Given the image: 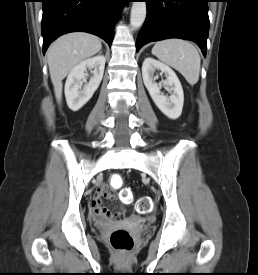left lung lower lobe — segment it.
Wrapping results in <instances>:
<instances>
[{
    "instance_id": "left-lung-lower-lobe-1",
    "label": "left lung lower lobe",
    "mask_w": 258,
    "mask_h": 275,
    "mask_svg": "<svg viewBox=\"0 0 258 275\" xmlns=\"http://www.w3.org/2000/svg\"><path fill=\"white\" fill-rule=\"evenodd\" d=\"M147 17L136 51L153 41L181 38L194 41L206 54L209 32L208 0H145Z\"/></svg>"
}]
</instances>
